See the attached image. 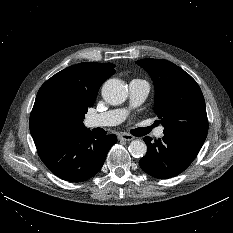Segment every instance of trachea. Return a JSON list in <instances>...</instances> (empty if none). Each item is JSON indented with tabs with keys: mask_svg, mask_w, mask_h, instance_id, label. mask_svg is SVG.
I'll use <instances>...</instances> for the list:
<instances>
[{
	"mask_svg": "<svg viewBox=\"0 0 233 233\" xmlns=\"http://www.w3.org/2000/svg\"><path fill=\"white\" fill-rule=\"evenodd\" d=\"M152 127H146V128H137L133 131V134L135 136H143V135H146L148 134L150 131H151Z\"/></svg>",
	"mask_w": 233,
	"mask_h": 233,
	"instance_id": "obj_1",
	"label": "trachea"
}]
</instances>
